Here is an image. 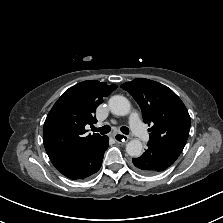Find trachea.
Instances as JSON below:
<instances>
[{
  "mask_svg": "<svg viewBox=\"0 0 223 223\" xmlns=\"http://www.w3.org/2000/svg\"><path fill=\"white\" fill-rule=\"evenodd\" d=\"M120 130H121V132H122L123 134H126V135L129 134V129H128L127 127H125V126H122V127L120 128ZM93 131H95V132H100V134L104 135V134H107V133H109V132L111 131V127L108 126V125H105V126L100 127V128H95V127H93Z\"/></svg>",
  "mask_w": 223,
  "mask_h": 223,
  "instance_id": "3493384b",
  "label": "trachea"
}]
</instances>
